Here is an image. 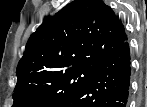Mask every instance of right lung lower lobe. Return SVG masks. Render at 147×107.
<instances>
[{
  "label": "right lung lower lobe",
  "mask_w": 147,
  "mask_h": 107,
  "mask_svg": "<svg viewBox=\"0 0 147 107\" xmlns=\"http://www.w3.org/2000/svg\"><path fill=\"white\" fill-rule=\"evenodd\" d=\"M127 39L101 63L88 81L58 107H126L130 85Z\"/></svg>",
  "instance_id": "obj_1"
}]
</instances>
